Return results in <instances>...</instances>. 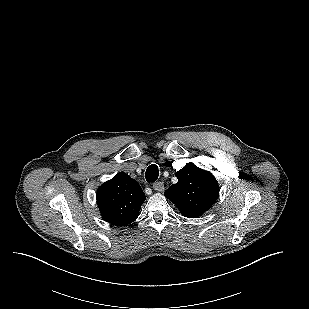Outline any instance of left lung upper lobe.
<instances>
[{"label":"left lung upper lobe","instance_id":"left-lung-upper-lobe-1","mask_svg":"<svg viewBox=\"0 0 309 309\" xmlns=\"http://www.w3.org/2000/svg\"><path fill=\"white\" fill-rule=\"evenodd\" d=\"M175 176L178 182L165 191V196L178 207L183 216H201L217 200L219 186L210 172L188 163Z\"/></svg>","mask_w":309,"mask_h":309}]
</instances>
